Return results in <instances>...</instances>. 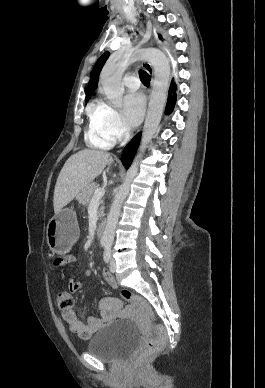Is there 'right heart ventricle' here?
I'll return each instance as SVG.
<instances>
[{
  "label": "right heart ventricle",
  "instance_id": "obj_1",
  "mask_svg": "<svg viewBox=\"0 0 265 388\" xmlns=\"http://www.w3.org/2000/svg\"><path fill=\"white\" fill-rule=\"evenodd\" d=\"M99 104L100 103L98 102L90 106V124L86 134V140L93 146L106 149L110 148L113 145V139L105 135L101 129L98 115Z\"/></svg>",
  "mask_w": 265,
  "mask_h": 388
}]
</instances>
